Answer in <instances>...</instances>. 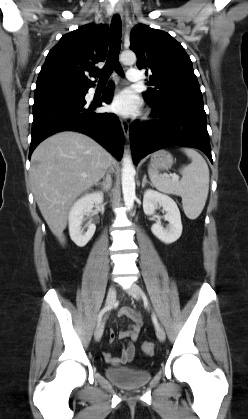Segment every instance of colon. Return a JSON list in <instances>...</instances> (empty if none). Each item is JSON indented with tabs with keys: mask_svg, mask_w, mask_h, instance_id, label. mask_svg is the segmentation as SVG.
I'll use <instances>...</instances> for the list:
<instances>
[{
	"mask_svg": "<svg viewBox=\"0 0 248 419\" xmlns=\"http://www.w3.org/2000/svg\"><path fill=\"white\" fill-rule=\"evenodd\" d=\"M142 349L146 354H152L154 352V343L151 341H144L142 344Z\"/></svg>",
	"mask_w": 248,
	"mask_h": 419,
	"instance_id": "1",
	"label": "colon"
}]
</instances>
